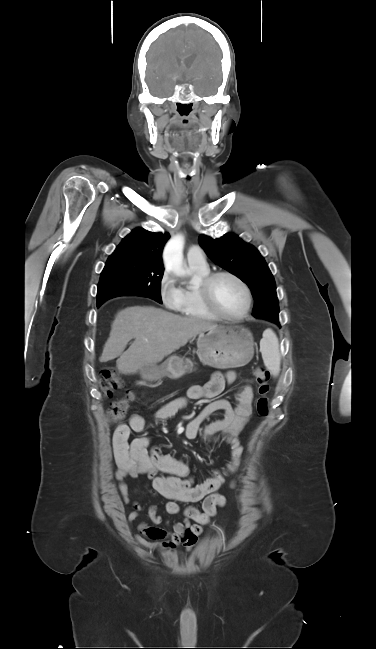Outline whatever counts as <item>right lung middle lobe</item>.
I'll use <instances>...</instances> for the list:
<instances>
[{
    "mask_svg": "<svg viewBox=\"0 0 376 649\" xmlns=\"http://www.w3.org/2000/svg\"><path fill=\"white\" fill-rule=\"evenodd\" d=\"M163 269L153 270L146 260L130 256H111L101 273L97 307L106 300L122 295L149 297L159 303Z\"/></svg>",
    "mask_w": 376,
    "mask_h": 649,
    "instance_id": "right-lung-middle-lobe-1",
    "label": "right lung middle lobe"
}]
</instances>
